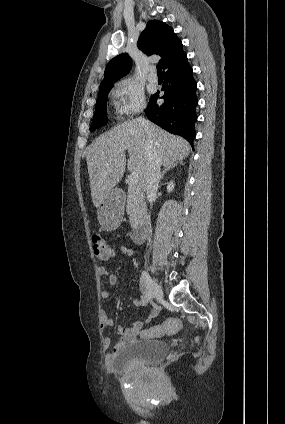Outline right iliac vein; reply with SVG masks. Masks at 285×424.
<instances>
[{"mask_svg": "<svg viewBox=\"0 0 285 424\" xmlns=\"http://www.w3.org/2000/svg\"><path fill=\"white\" fill-rule=\"evenodd\" d=\"M151 279V285L153 288V292H154V296L158 301L163 300V291L161 289V287L155 282V280L153 278Z\"/></svg>", "mask_w": 285, "mask_h": 424, "instance_id": "right-iliac-vein-1", "label": "right iliac vein"}]
</instances>
